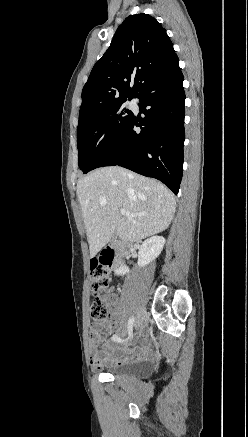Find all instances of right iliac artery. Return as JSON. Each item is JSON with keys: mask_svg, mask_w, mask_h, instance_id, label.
Here are the masks:
<instances>
[{"mask_svg": "<svg viewBox=\"0 0 248 437\" xmlns=\"http://www.w3.org/2000/svg\"><path fill=\"white\" fill-rule=\"evenodd\" d=\"M134 319H135L134 316H132L128 321L129 336L126 339H121L117 335H114L112 337L114 341H117L119 343H123V342H127L130 339V337L132 335V327H133Z\"/></svg>", "mask_w": 248, "mask_h": 437, "instance_id": "obj_1", "label": "right iliac artery"}]
</instances>
